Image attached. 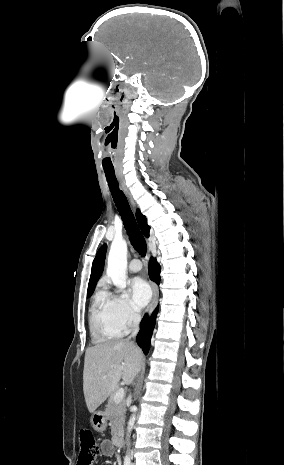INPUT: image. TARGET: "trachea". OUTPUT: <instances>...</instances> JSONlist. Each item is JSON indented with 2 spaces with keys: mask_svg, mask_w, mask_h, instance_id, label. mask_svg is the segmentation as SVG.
I'll list each match as a JSON object with an SVG mask.
<instances>
[{
  "mask_svg": "<svg viewBox=\"0 0 284 465\" xmlns=\"http://www.w3.org/2000/svg\"><path fill=\"white\" fill-rule=\"evenodd\" d=\"M107 182L114 199L115 205L122 217L123 224L129 236L130 242L135 250L141 255H146L147 245L145 239L136 223L126 196L120 190L115 176V170L104 169Z\"/></svg>",
  "mask_w": 284,
  "mask_h": 465,
  "instance_id": "obj_1",
  "label": "trachea"
}]
</instances>
